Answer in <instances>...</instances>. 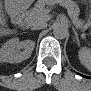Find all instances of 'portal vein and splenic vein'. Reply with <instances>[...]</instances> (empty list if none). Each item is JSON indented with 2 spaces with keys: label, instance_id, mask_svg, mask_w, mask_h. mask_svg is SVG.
<instances>
[{
  "label": "portal vein and splenic vein",
  "instance_id": "1",
  "mask_svg": "<svg viewBox=\"0 0 91 91\" xmlns=\"http://www.w3.org/2000/svg\"><path fill=\"white\" fill-rule=\"evenodd\" d=\"M77 27H79V28H80V27H81V24H80V23H78V24H77Z\"/></svg>",
  "mask_w": 91,
  "mask_h": 91
}]
</instances>
